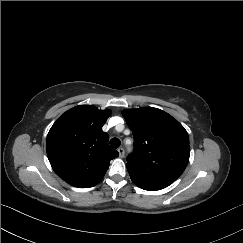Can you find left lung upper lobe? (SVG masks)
<instances>
[{
  "label": "left lung upper lobe",
  "mask_w": 243,
  "mask_h": 243,
  "mask_svg": "<svg viewBox=\"0 0 243 243\" xmlns=\"http://www.w3.org/2000/svg\"><path fill=\"white\" fill-rule=\"evenodd\" d=\"M123 117L133 132L134 151L127 170L135 184L176 180L190 156L185 128L168 113L153 107L126 109Z\"/></svg>",
  "instance_id": "left-lung-upper-lobe-1"
}]
</instances>
